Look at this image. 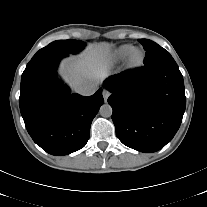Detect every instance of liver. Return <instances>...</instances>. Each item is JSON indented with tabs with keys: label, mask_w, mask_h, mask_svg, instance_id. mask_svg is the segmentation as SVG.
<instances>
[{
	"label": "liver",
	"mask_w": 207,
	"mask_h": 207,
	"mask_svg": "<svg viewBox=\"0 0 207 207\" xmlns=\"http://www.w3.org/2000/svg\"><path fill=\"white\" fill-rule=\"evenodd\" d=\"M110 45L94 44L81 55L65 59L59 68V74L74 87L84 81H94L98 84L108 70L107 55Z\"/></svg>",
	"instance_id": "1"
}]
</instances>
